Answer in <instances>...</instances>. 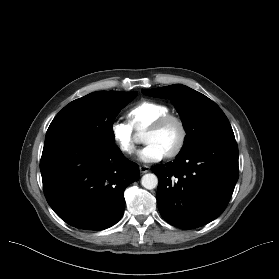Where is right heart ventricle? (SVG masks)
<instances>
[{
  "label": "right heart ventricle",
  "mask_w": 279,
  "mask_h": 279,
  "mask_svg": "<svg viewBox=\"0 0 279 279\" xmlns=\"http://www.w3.org/2000/svg\"><path fill=\"white\" fill-rule=\"evenodd\" d=\"M169 113V108L155 101L144 100L134 105L128 112L130 126L148 127L157 118Z\"/></svg>",
  "instance_id": "1"
}]
</instances>
